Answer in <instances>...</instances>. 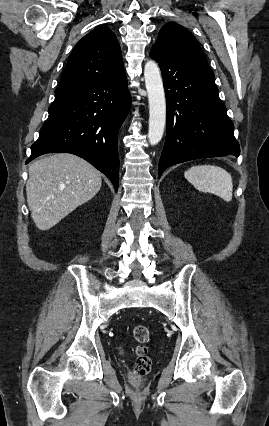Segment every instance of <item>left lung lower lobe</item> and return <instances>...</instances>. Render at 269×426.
Returning <instances> with one entry per match:
<instances>
[{
  "instance_id": "1",
  "label": "left lung lower lobe",
  "mask_w": 269,
  "mask_h": 426,
  "mask_svg": "<svg viewBox=\"0 0 269 426\" xmlns=\"http://www.w3.org/2000/svg\"><path fill=\"white\" fill-rule=\"evenodd\" d=\"M161 69L167 102V135L158 174L185 161L236 157L240 147L233 123L219 98L211 68L191 57L152 47Z\"/></svg>"
}]
</instances>
